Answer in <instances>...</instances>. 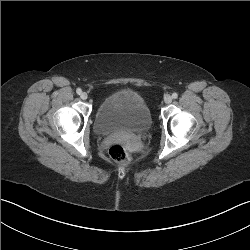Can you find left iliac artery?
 <instances>
[{
    "instance_id": "1",
    "label": "left iliac artery",
    "mask_w": 250,
    "mask_h": 250,
    "mask_svg": "<svg viewBox=\"0 0 250 250\" xmlns=\"http://www.w3.org/2000/svg\"><path fill=\"white\" fill-rule=\"evenodd\" d=\"M177 97H178V94H177V93H173V94H172V98H173V99H176Z\"/></svg>"
}]
</instances>
